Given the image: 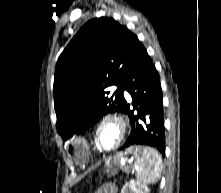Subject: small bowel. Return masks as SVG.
Returning a JSON list of instances; mask_svg holds the SVG:
<instances>
[{
  "instance_id": "small-bowel-1",
  "label": "small bowel",
  "mask_w": 221,
  "mask_h": 193,
  "mask_svg": "<svg viewBox=\"0 0 221 193\" xmlns=\"http://www.w3.org/2000/svg\"><path fill=\"white\" fill-rule=\"evenodd\" d=\"M95 193H117V190L114 185L106 184L98 189Z\"/></svg>"
}]
</instances>
